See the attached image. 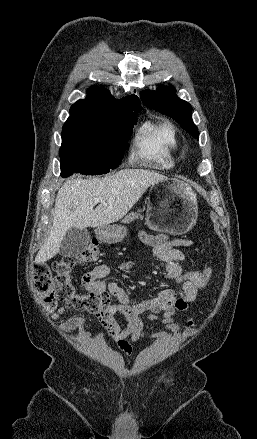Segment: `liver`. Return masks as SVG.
<instances>
[{
	"mask_svg": "<svg viewBox=\"0 0 257 439\" xmlns=\"http://www.w3.org/2000/svg\"><path fill=\"white\" fill-rule=\"evenodd\" d=\"M164 179V175L150 170L123 169L104 178L68 180L58 191L51 232L35 261L53 258L71 228L103 227L120 220L148 187ZM96 198H102V202L94 209Z\"/></svg>",
	"mask_w": 257,
	"mask_h": 439,
	"instance_id": "obj_1",
	"label": "liver"
}]
</instances>
